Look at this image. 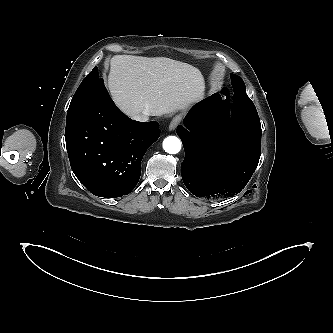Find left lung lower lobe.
<instances>
[{"label":"left lung lower lobe","instance_id":"obj_1","mask_svg":"<svg viewBox=\"0 0 333 333\" xmlns=\"http://www.w3.org/2000/svg\"><path fill=\"white\" fill-rule=\"evenodd\" d=\"M229 104L216 93L193 106L178 126L185 159L181 175L195 196L232 197L246 186L261 155V125L253 106L233 100ZM237 113L241 119L234 121Z\"/></svg>","mask_w":333,"mask_h":333}]
</instances>
